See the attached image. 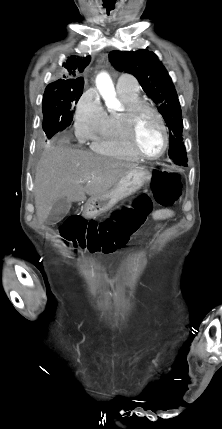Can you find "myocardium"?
<instances>
[{"mask_svg": "<svg viewBox=\"0 0 222 429\" xmlns=\"http://www.w3.org/2000/svg\"><path fill=\"white\" fill-rule=\"evenodd\" d=\"M143 112H150L155 116L157 121L159 122V125L162 130L164 144L162 150L156 154V155H148L145 154L139 147L137 143V124L140 115ZM124 126H125V132H126V139L127 143L130 147V149L139 157L145 160H157L165 155V153L168 150L169 147V133L166 126V123L162 117V115L159 113V111L150 105L147 102L144 101H138L133 104L127 105L124 107V110L122 112Z\"/></svg>", "mask_w": 222, "mask_h": 429, "instance_id": "1", "label": "myocardium"}]
</instances>
